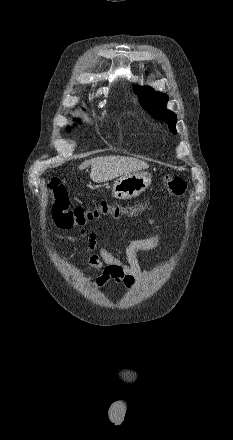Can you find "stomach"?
I'll list each match as a JSON object with an SVG mask.
<instances>
[{
	"instance_id": "stomach-1",
	"label": "stomach",
	"mask_w": 233,
	"mask_h": 440,
	"mask_svg": "<svg viewBox=\"0 0 233 440\" xmlns=\"http://www.w3.org/2000/svg\"><path fill=\"white\" fill-rule=\"evenodd\" d=\"M152 182L151 175L146 172H133L114 181L112 194L117 199H132L140 195Z\"/></svg>"
}]
</instances>
